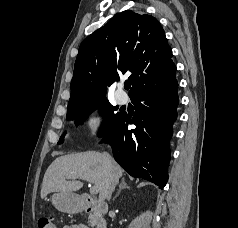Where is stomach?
Returning <instances> with one entry per match:
<instances>
[{
    "mask_svg": "<svg viewBox=\"0 0 238 228\" xmlns=\"http://www.w3.org/2000/svg\"><path fill=\"white\" fill-rule=\"evenodd\" d=\"M51 202L56 209L66 213H74L81 209V202L72 192H58L52 195Z\"/></svg>",
    "mask_w": 238,
    "mask_h": 228,
    "instance_id": "1",
    "label": "stomach"
}]
</instances>
